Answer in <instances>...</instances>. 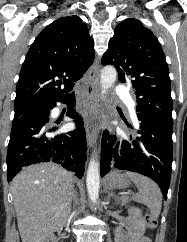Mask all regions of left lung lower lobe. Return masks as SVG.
<instances>
[{"label": "left lung lower lobe", "mask_w": 187, "mask_h": 242, "mask_svg": "<svg viewBox=\"0 0 187 242\" xmlns=\"http://www.w3.org/2000/svg\"><path fill=\"white\" fill-rule=\"evenodd\" d=\"M138 136L118 139L104 131L101 142V176L111 169L137 172L153 179L164 199L170 185L173 121L137 113Z\"/></svg>", "instance_id": "0a47b994"}]
</instances>
